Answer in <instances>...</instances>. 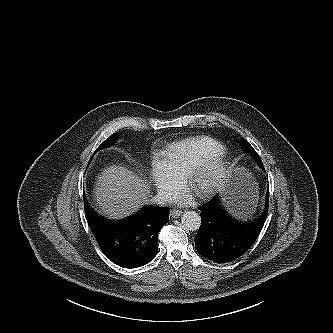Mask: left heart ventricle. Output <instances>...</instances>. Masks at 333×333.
Segmentation results:
<instances>
[{"label": "left heart ventricle", "mask_w": 333, "mask_h": 333, "mask_svg": "<svg viewBox=\"0 0 333 333\" xmlns=\"http://www.w3.org/2000/svg\"><path fill=\"white\" fill-rule=\"evenodd\" d=\"M210 181H211V176L208 174H205L196 181V183L194 185V189L201 190V189L205 188L209 184Z\"/></svg>", "instance_id": "obj_1"}]
</instances>
